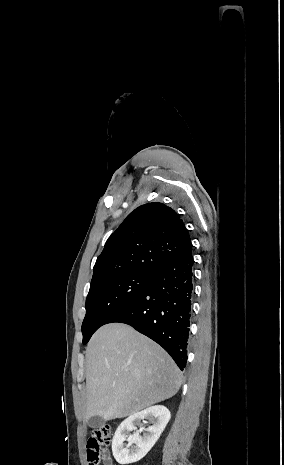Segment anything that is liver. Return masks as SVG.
Masks as SVG:
<instances>
[{"mask_svg": "<svg viewBox=\"0 0 284 465\" xmlns=\"http://www.w3.org/2000/svg\"><path fill=\"white\" fill-rule=\"evenodd\" d=\"M181 373L168 353L128 325L98 329L86 349L84 419H122L178 393Z\"/></svg>", "mask_w": 284, "mask_h": 465, "instance_id": "1", "label": "liver"}]
</instances>
